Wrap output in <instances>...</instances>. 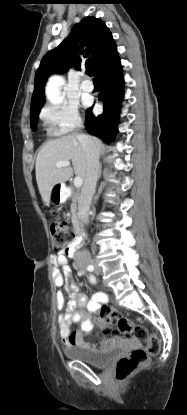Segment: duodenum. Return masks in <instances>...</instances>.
<instances>
[{"label": "duodenum", "instance_id": "duodenum-1", "mask_svg": "<svg viewBox=\"0 0 187 415\" xmlns=\"http://www.w3.org/2000/svg\"><path fill=\"white\" fill-rule=\"evenodd\" d=\"M61 193H62V195H70V190L66 187H62L61 188ZM77 233H78V237L75 241V244L70 249V254H74V252L79 248V246L82 242L83 234H82V231H81L79 226L77 227Z\"/></svg>", "mask_w": 187, "mask_h": 415}]
</instances>
